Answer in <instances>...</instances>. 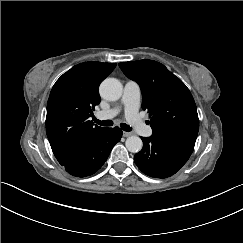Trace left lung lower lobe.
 Here are the masks:
<instances>
[{
    "label": "left lung lower lobe",
    "instance_id": "0a47b994",
    "mask_svg": "<svg viewBox=\"0 0 243 243\" xmlns=\"http://www.w3.org/2000/svg\"><path fill=\"white\" fill-rule=\"evenodd\" d=\"M143 148L135 154L138 168L150 177L167 178L175 174L189 159L195 143L152 135L142 137Z\"/></svg>",
    "mask_w": 243,
    "mask_h": 243
}]
</instances>
